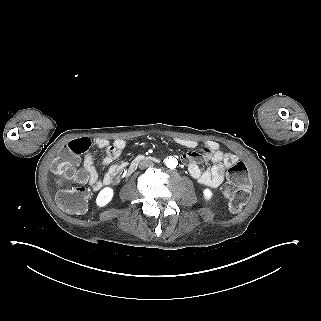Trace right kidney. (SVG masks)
<instances>
[{"label":"right kidney","instance_id":"right-kidney-1","mask_svg":"<svg viewBox=\"0 0 321 321\" xmlns=\"http://www.w3.org/2000/svg\"><path fill=\"white\" fill-rule=\"evenodd\" d=\"M113 197V189L110 187L103 188L96 199V204L100 207L108 204Z\"/></svg>","mask_w":321,"mask_h":321}]
</instances>
